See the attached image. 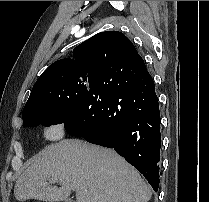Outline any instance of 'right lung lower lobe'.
Returning <instances> with one entry per match:
<instances>
[{"mask_svg":"<svg viewBox=\"0 0 209 202\" xmlns=\"http://www.w3.org/2000/svg\"><path fill=\"white\" fill-rule=\"evenodd\" d=\"M160 112L153 79L142 58L125 72L111 70L97 78L79 113L64 123L66 131L114 149L153 187H159Z\"/></svg>","mask_w":209,"mask_h":202,"instance_id":"obj_1","label":"right lung lower lobe"}]
</instances>
